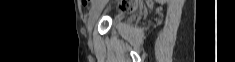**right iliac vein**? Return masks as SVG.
Here are the masks:
<instances>
[{
	"instance_id": "right-iliac-vein-1",
	"label": "right iliac vein",
	"mask_w": 235,
	"mask_h": 62,
	"mask_svg": "<svg viewBox=\"0 0 235 62\" xmlns=\"http://www.w3.org/2000/svg\"><path fill=\"white\" fill-rule=\"evenodd\" d=\"M105 6V3H101L99 5H96L90 16H89V20H88V24H87V27H88V31L91 32L92 29H93V26L95 24V22L97 21L99 15H100V12L102 11V9L104 8Z\"/></svg>"
}]
</instances>
